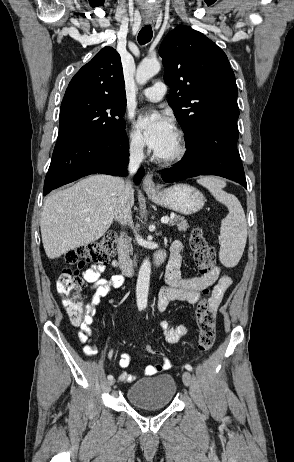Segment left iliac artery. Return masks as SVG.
Wrapping results in <instances>:
<instances>
[{
    "mask_svg": "<svg viewBox=\"0 0 294 462\" xmlns=\"http://www.w3.org/2000/svg\"><path fill=\"white\" fill-rule=\"evenodd\" d=\"M184 367H185L188 371H192V370H193L192 366L189 365V364H186Z\"/></svg>",
    "mask_w": 294,
    "mask_h": 462,
    "instance_id": "1",
    "label": "left iliac artery"
}]
</instances>
